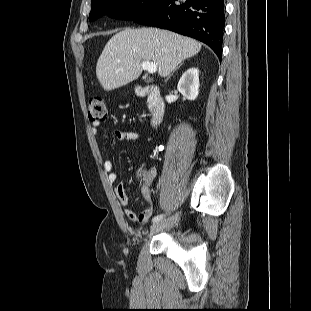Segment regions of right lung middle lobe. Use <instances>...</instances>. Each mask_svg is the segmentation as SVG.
I'll return each mask as SVG.
<instances>
[{"mask_svg": "<svg viewBox=\"0 0 311 311\" xmlns=\"http://www.w3.org/2000/svg\"><path fill=\"white\" fill-rule=\"evenodd\" d=\"M160 0H95L91 2L89 21L105 14L124 20H133L147 12Z\"/></svg>", "mask_w": 311, "mask_h": 311, "instance_id": "dd1d6c3e", "label": "right lung middle lobe"}]
</instances>
